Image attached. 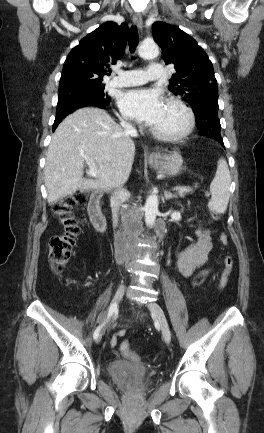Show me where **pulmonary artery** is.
<instances>
[{
	"label": "pulmonary artery",
	"mask_w": 264,
	"mask_h": 433,
	"mask_svg": "<svg viewBox=\"0 0 264 433\" xmlns=\"http://www.w3.org/2000/svg\"><path fill=\"white\" fill-rule=\"evenodd\" d=\"M118 76L110 81L115 87H129L144 84L152 80H160L164 76L163 67L160 64L152 63L147 72L141 69L119 70Z\"/></svg>",
	"instance_id": "pulmonary-artery-1"
}]
</instances>
